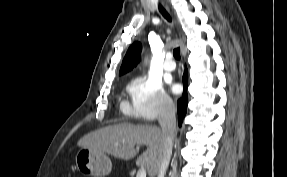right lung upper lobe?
Returning a JSON list of instances; mask_svg holds the SVG:
<instances>
[{"label": "right lung upper lobe", "instance_id": "1", "mask_svg": "<svg viewBox=\"0 0 287 177\" xmlns=\"http://www.w3.org/2000/svg\"><path fill=\"white\" fill-rule=\"evenodd\" d=\"M141 49L142 47L140 42H134L130 46L123 59L119 72L120 75L130 71L134 66L137 65V63L140 61Z\"/></svg>", "mask_w": 287, "mask_h": 177}]
</instances>
